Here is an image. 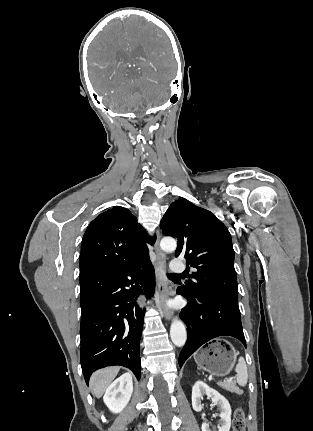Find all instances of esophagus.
I'll return each instance as SVG.
<instances>
[{
  "label": "esophagus",
  "instance_id": "esophagus-1",
  "mask_svg": "<svg viewBox=\"0 0 313 431\" xmlns=\"http://www.w3.org/2000/svg\"><path fill=\"white\" fill-rule=\"evenodd\" d=\"M160 233L157 232V239L155 242V252L157 255L155 270H156V280H157V304L161 314L167 319L172 318V311L167 307L166 300L168 297L167 280L165 277L166 268V256L162 252L159 246Z\"/></svg>",
  "mask_w": 313,
  "mask_h": 431
}]
</instances>
